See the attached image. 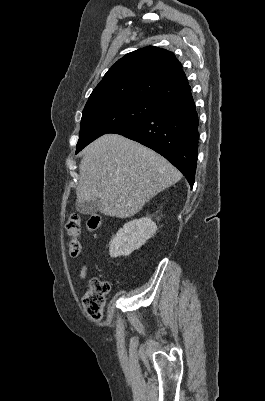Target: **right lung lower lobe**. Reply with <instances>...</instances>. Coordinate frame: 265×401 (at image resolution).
<instances>
[{
    "mask_svg": "<svg viewBox=\"0 0 265 401\" xmlns=\"http://www.w3.org/2000/svg\"><path fill=\"white\" fill-rule=\"evenodd\" d=\"M199 120L191 92L164 102L150 115L111 133L123 135L161 154L194 184Z\"/></svg>",
    "mask_w": 265,
    "mask_h": 401,
    "instance_id": "right-lung-lower-lobe-1",
    "label": "right lung lower lobe"
}]
</instances>
